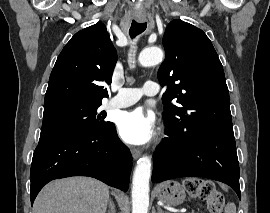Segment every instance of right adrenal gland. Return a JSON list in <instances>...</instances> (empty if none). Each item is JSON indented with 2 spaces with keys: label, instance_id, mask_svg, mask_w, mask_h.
<instances>
[{
  "label": "right adrenal gland",
  "instance_id": "1",
  "mask_svg": "<svg viewBox=\"0 0 270 213\" xmlns=\"http://www.w3.org/2000/svg\"><path fill=\"white\" fill-rule=\"evenodd\" d=\"M108 207H109V210H108L107 213H115V205H114V203H113L112 200H109V205H108Z\"/></svg>",
  "mask_w": 270,
  "mask_h": 213
}]
</instances>
